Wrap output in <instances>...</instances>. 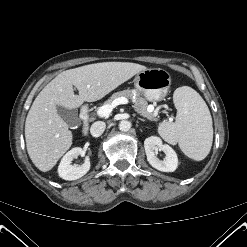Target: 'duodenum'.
I'll return each instance as SVG.
<instances>
[{"label":"duodenum","instance_id":"1","mask_svg":"<svg viewBox=\"0 0 247 247\" xmlns=\"http://www.w3.org/2000/svg\"><path fill=\"white\" fill-rule=\"evenodd\" d=\"M80 118L82 120V132L84 134H87L89 129V122H90L89 110L87 107H83L81 109Z\"/></svg>","mask_w":247,"mask_h":247}]
</instances>
